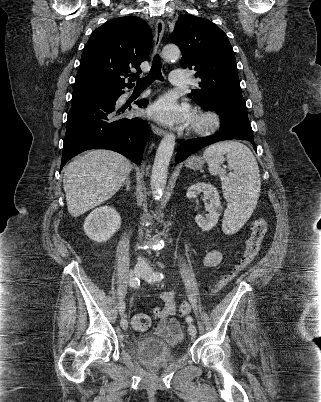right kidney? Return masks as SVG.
<instances>
[{"label":"right kidney","instance_id":"1","mask_svg":"<svg viewBox=\"0 0 321 402\" xmlns=\"http://www.w3.org/2000/svg\"><path fill=\"white\" fill-rule=\"evenodd\" d=\"M121 225V217L111 206H101L93 210L84 222L85 234L98 243L106 242Z\"/></svg>","mask_w":321,"mask_h":402}]
</instances>
